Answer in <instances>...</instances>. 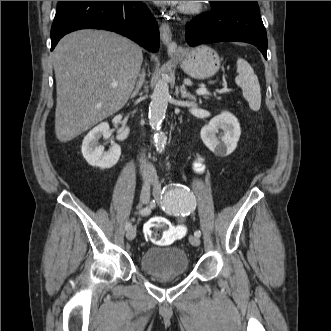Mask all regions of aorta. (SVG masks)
Segmentation results:
<instances>
[{
	"instance_id": "obj_1",
	"label": "aorta",
	"mask_w": 331,
	"mask_h": 331,
	"mask_svg": "<svg viewBox=\"0 0 331 331\" xmlns=\"http://www.w3.org/2000/svg\"><path fill=\"white\" fill-rule=\"evenodd\" d=\"M169 97L168 83L165 78L162 77L155 85L149 106V121L151 127L155 130L154 139L157 150L159 151L164 149L166 144V136L160 129L165 118Z\"/></svg>"
}]
</instances>
